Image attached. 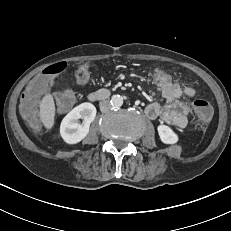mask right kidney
Returning a JSON list of instances; mask_svg holds the SVG:
<instances>
[{"label": "right kidney", "instance_id": "right-kidney-1", "mask_svg": "<svg viewBox=\"0 0 231 231\" xmlns=\"http://www.w3.org/2000/svg\"><path fill=\"white\" fill-rule=\"evenodd\" d=\"M96 117V108L85 102L72 109L62 120L60 134L67 144H77L89 133L90 124ZM79 119H83L80 123Z\"/></svg>", "mask_w": 231, "mask_h": 231}]
</instances>
